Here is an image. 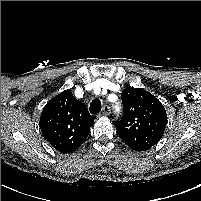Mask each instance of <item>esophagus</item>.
Returning <instances> with one entry per match:
<instances>
[{"mask_svg":"<svg viewBox=\"0 0 201 201\" xmlns=\"http://www.w3.org/2000/svg\"><path fill=\"white\" fill-rule=\"evenodd\" d=\"M109 113H110V107L107 105L103 106L101 115H108Z\"/></svg>","mask_w":201,"mask_h":201,"instance_id":"esophagus-1","label":"esophagus"}]
</instances>
